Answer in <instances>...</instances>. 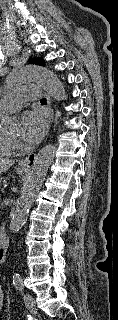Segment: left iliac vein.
<instances>
[{"label":"left iliac vein","instance_id":"obj_1","mask_svg":"<svg viewBox=\"0 0 118 320\" xmlns=\"http://www.w3.org/2000/svg\"><path fill=\"white\" fill-rule=\"evenodd\" d=\"M24 302L26 307L30 310V311H35L36 310V302L35 299L33 298L32 295H30L29 293H26L24 295Z\"/></svg>","mask_w":118,"mask_h":320}]
</instances>
